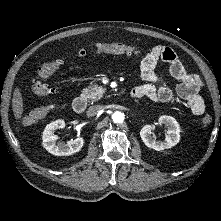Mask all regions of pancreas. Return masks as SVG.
<instances>
[{"mask_svg": "<svg viewBox=\"0 0 221 221\" xmlns=\"http://www.w3.org/2000/svg\"><path fill=\"white\" fill-rule=\"evenodd\" d=\"M104 92L105 89L102 86H99L97 84H92L82 90L81 96L85 101L89 103H94L95 101L103 97Z\"/></svg>", "mask_w": 221, "mask_h": 221, "instance_id": "obj_1", "label": "pancreas"}]
</instances>
